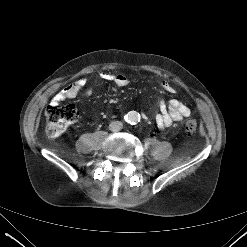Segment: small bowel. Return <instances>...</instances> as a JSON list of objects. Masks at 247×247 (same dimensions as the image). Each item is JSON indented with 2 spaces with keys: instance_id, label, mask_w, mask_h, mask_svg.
Here are the masks:
<instances>
[{
  "instance_id": "1",
  "label": "small bowel",
  "mask_w": 247,
  "mask_h": 247,
  "mask_svg": "<svg viewBox=\"0 0 247 247\" xmlns=\"http://www.w3.org/2000/svg\"><path fill=\"white\" fill-rule=\"evenodd\" d=\"M100 78L114 83L117 87H125L129 84V79L123 74H115L106 71H102L99 74ZM86 85L85 79H79L75 83L65 87L59 93H57L53 99L52 103L58 104L66 99H72L77 96H89L90 89L84 90ZM160 87L168 92L174 93L175 88L167 81H162ZM190 108L177 99H172L168 102L162 100L160 102V113L156 115L155 121L159 128H165L171 126L174 122L181 121L183 118L190 116Z\"/></svg>"
}]
</instances>
